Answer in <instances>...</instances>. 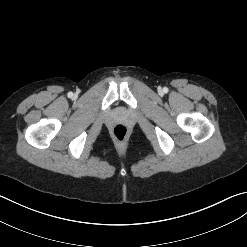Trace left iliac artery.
Masks as SVG:
<instances>
[{"label":"left iliac artery","instance_id":"44dca946","mask_svg":"<svg viewBox=\"0 0 247 247\" xmlns=\"http://www.w3.org/2000/svg\"><path fill=\"white\" fill-rule=\"evenodd\" d=\"M163 90H164V92H168V88H166V87Z\"/></svg>","mask_w":247,"mask_h":247}]
</instances>
